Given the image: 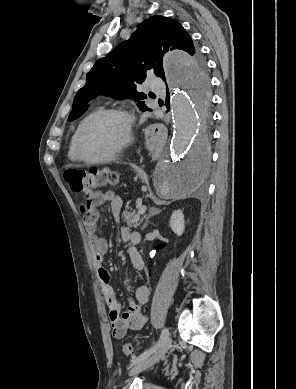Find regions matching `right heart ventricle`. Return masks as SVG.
<instances>
[{"label": "right heart ventricle", "mask_w": 296, "mask_h": 389, "mask_svg": "<svg viewBox=\"0 0 296 389\" xmlns=\"http://www.w3.org/2000/svg\"><path fill=\"white\" fill-rule=\"evenodd\" d=\"M93 113H95V111H92L90 112L89 114H87L81 121L80 123L78 124L75 132L73 133L72 135V138L70 140V144H69V149H68V157L70 160L72 161H78L79 158L76 154V150H75V141H76V135H77V132H78V129L80 128V126L82 125V123L89 117L91 116Z\"/></svg>", "instance_id": "1"}]
</instances>
